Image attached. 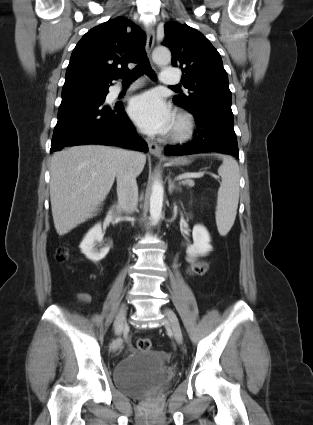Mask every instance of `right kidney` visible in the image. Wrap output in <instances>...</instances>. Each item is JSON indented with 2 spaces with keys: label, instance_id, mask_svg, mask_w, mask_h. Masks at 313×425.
Segmentation results:
<instances>
[{
  "label": "right kidney",
  "instance_id": "obj_1",
  "mask_svg": "<svg viewBox=\"0 0 313 425\" xmlns=\"http://www.w3.org/2000/svg\"><path fill=\"white\" fill-rule=\"evenodd\" d=\"M103 236L102 226L98 223L88 231L79 246L81 252L94 262L102 260L109 252L110 247L108 245L99 249L96 247L98 243L101 244L103 241Z\"/></svg>",
  "mask_w": 313,
  "mask_h": 425
}]
</instances>
